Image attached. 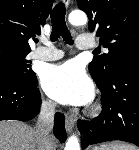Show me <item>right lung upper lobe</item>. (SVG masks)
Here are the masks:
<instances>
[{"mask_svg": "<svg viewBox=\"0 0 139 150\" xmlns=\"http://www.w3.org/2000/svg\"><path fill=\"white\" fill-rule=\"evenodd\" d=\"M54 0H0V47L31 52L29 38L41 33Z\"/></svg>", "mask_w": 139, "mask_h": 150, "instance_id": "right-lung-upper-lobe-1", "label": "right lung upper lobe"}]
</instances>
